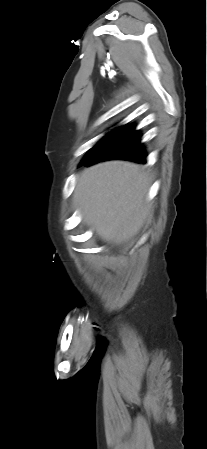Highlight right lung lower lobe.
Returning a JSON list of instances; mask_svg holds the SVG:
<instances>
[{
  "mask_svg": "<svg viewBox=\"0 0 207 449\" xmlns=\"http://www.w3.org/2000/svg\"><path fill=\"white\" fill-rule=\"evenodd\" d=\"M140 138L139 132L135 131V126L129 125L112 137L94 155L83 161L81 165L89 166L111 159H124L144 163L146 154L143 145L140 143Z\"/></svg>",
  "mask_w": 207,
  "mask_h": 449,
  "instance_id": "1",
  "label": "right lung lower lobe"
}]
</instances>
